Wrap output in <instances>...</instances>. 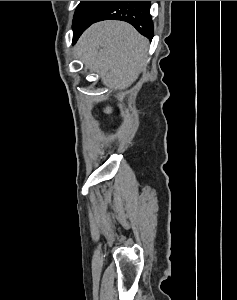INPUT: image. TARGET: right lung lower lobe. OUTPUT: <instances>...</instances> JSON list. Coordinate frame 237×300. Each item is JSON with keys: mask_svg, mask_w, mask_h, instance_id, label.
Instances as JSON below:
<instances>
[{"mask_svg": "<svg viewBox=\"0 0 237 300\" xmlns=\"http://www.w3.org/2000/svg\"><path fill=\"white\" fill-rule=\"evenodd\" d=\"M149 11L150 1H114L95 22L107 19L126 21L151 40L153 25ZM84 30L75 33L73 39L77 40Z\"/></svg>", "mask_w": 237, "mask_h": 300, "instance_id": "obj_1", "label": "right lung lower lobe"}]
</instances>
